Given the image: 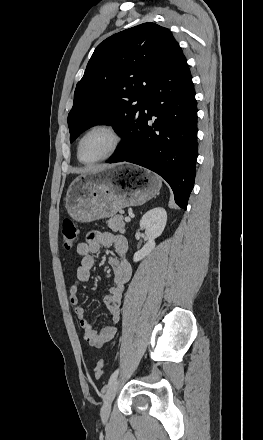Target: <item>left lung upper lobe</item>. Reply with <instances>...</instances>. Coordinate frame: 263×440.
I'll return each mask as SVG.
<instances>
[{
	"mask_svg": "<svg viewBox=\"0 0 263 440\" xmlns=\"http://www.w3.org/2000/svg\"><path fill=\"white\" fill-rule=\"evenodd\" d=\"M176 43L169 29L143 23L101 42L77 83L68 115L70 141L95 124L113 125L123 137L130 135L144 107L151 83Z\"/></svg>",
	"mask_w": 263,
	"mask_h": 440,
	"instance_id": "left-lung-upper-lobe-1",
	"label": "left lung upper lobe"
}]
</instances>
